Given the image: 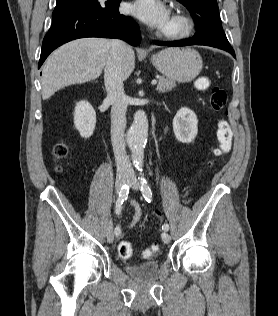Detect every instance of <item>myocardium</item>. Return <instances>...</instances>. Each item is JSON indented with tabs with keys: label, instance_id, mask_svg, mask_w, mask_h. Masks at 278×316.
<instances>
[{
	"label": "myocardium",
	"instance_id": "f54148a6",
	"mask_svg": "<svg viewBox=\"0 0 278 316\" xmlns=\"http://www.w3.org/2000/svg\"><path fill=\"white\" fill-rule=\"evenodd\" d=\"M171 26H163L158 35L168 40H178L188 37L193 30L191 18L181 9H174L170 16Z\"/></svg>",
	"mask_w": 278,
	"mask_h": 316
}]
</instances>
